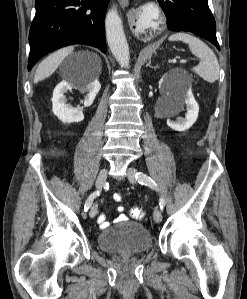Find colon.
<instances>
[{
	"label": "colon",
	"mask_w": 247,
	"mask_h": 299,
	"mask_svg": "<svg viewBox=\"0 0 247 299\" xmlns=\"http://www.w3.org/2000/svg\"><path fill=\"white\" fill-rule=\"evenodd\" d=\"M130 216L134 219H142L144 212L141 208L135 207L130 210Z\"/></svg>",
	"instance_id": "5ec220e1"
}]
</instances>
